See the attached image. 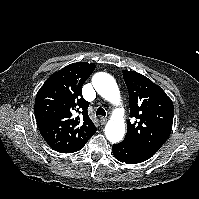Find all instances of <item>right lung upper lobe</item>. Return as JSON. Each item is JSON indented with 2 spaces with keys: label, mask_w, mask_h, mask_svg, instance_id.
Instances as JSON below:
<instances>
[{
  "label": "right lung upper lobe",
  "mask_w": 199,
  "mask_h": 199,
  "mask_svg": "<svg viewBox=\"0 0 199 199\" xmlns=\"http://www.w3.org/2000/svg\"><path fill=\"white\" fill-rule=\"evenodd\" d=\"M95 67L87 62L70 64L52 74L38 91L34 108L36 122L52 149L72 150L96 132L88 116V102L81 94L83 83ZM74 111L82 113V117H73Z\"/></svg>",
  "instance_id": "1"
}]
</instances>
